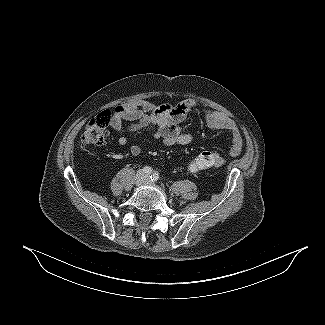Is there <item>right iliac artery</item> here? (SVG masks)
<instances>
[{"label":"right iliac artery","mask_w":325,"mask_h":325,"mask_svg":"<svg viewBox=\"0 0 325 325\" xmlns=\"http://www.w3.org/2000/svg\"><path fill=\"white\" fill-rule=\"evenodd\" d=\"M143 172L150 175L152 173V168L149 166H146L143 168Z\"/></svg>","instance_id":"82829eb1"}]
</instances>
